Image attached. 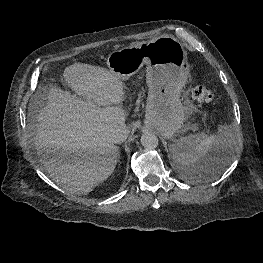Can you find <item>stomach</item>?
Instances as JSON below:
<instances>
[{
  "instance_id": "obj_1",
  "label": "stomach",
  "mask_w": 263,
  "mask_h": 263,
  "mask_svg": "<svg viewBox=\"0 0 263 263\" xmlns=\"http://www.w3.org/2000/svg\"><path fill=\"white\" fill-rule=\"evenodd\" d=\"M106 63L120 80H127L146 64L149 92L145 123L168 139L184 130L187 112L181 93L188 80L189 65L187 52L176 38L164 35L115 50Z\"/></svg>"
}]
</instances>
